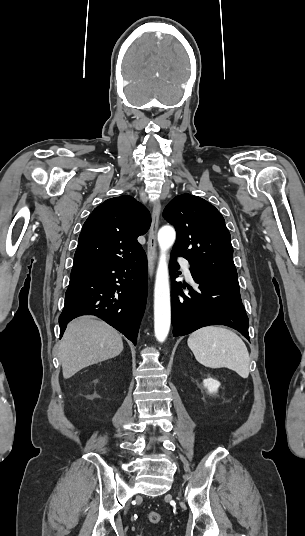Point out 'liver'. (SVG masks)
I'll return each instance as SVG.
<instances>
[{"label": "liver", "instance_id": "liver-1", "mask_svg": "<svg viewBox=\"0 0 305 536\" xmlns=\"http://www.w3.org/2000/svg\"><path fill=\"white\" fill-rule=\"evenodd\" d=\"M123 350L120 334L102 320L90 316L68 324L58 346L63 378H72L82 368L119 356Z\"/></svg>", "mask_w": 305, "mask_h": 536}]
</instances>
